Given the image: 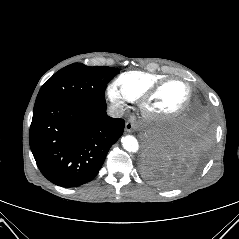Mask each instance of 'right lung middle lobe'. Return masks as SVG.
Wrapping results in <instances>:
<instances>
[{"label": "right lung middle lobe", "mask_w": 239, "mask_h": 239, "mask_svg": "<svg viewBox=\"0 0 239 239\" xmlns=\"http://www.w3.org/2000/svg\"><path fill=\"white\" fill-rule=\"evenodd\" d=\"M118 72L112 67L71 64L55 73L41 87L35 105L61 100L106 103L105 86Z\"/></svg>", "instance_id": "right-lung-middle-lobe-1"}]
</instances>
